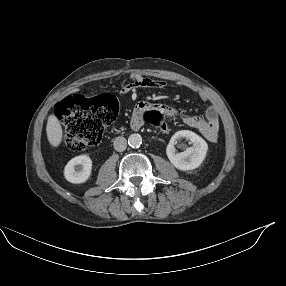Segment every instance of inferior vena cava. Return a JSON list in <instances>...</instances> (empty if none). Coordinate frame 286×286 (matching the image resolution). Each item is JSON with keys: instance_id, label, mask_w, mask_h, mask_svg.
I'll list each match as a JSON object with an SVG mask.
<instances>
[{"instance_id": "602c4592", "label": "inferior vena cava", "mask_w": 286, "mask_h": 286, "mask_svg": "<svg viewBox=\"0 0 286 286\" xmlns=\"http://www.w3.org/2000/svg\"><path fill=\"white\" fill-rule=\"evenodd\" d=\"M114 149L118 152L124 151L127 147V141L124 137L118 136L114 140Z\"/></svg>"}]
</instances>
